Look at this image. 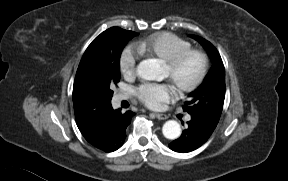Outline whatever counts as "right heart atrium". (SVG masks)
<instances>
[{
  "instance_id": "obj_1",
  "label": "right heart atrium",
  "mask_w": 288,
  "mask_h": 181,
  "mask_svg": "<svg viewBox=\"0 0 288 181\" xmlns=\"http://www.w3.org/2000/svg\"><path fill=\"white\" fill-rule=\"evenodd\" d=\"M138 60L139 52L133 46L126 47L119 58V69L121 73L127 78L133 77L136 72Z\"/></svg>"
}]
</instances>
